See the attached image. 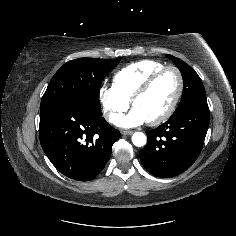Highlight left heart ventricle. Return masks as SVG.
Returning <instances> with one entry per match:
<instances>
[{"mask_svg": "<svg viewBox=\"0 0 236 236\" xmlns=\"http://www.w3.org/2000/svg\"><path fill=\"white\" fill-rule=\"evenodd\" d=\"M178 88L177 76L173 71L164 73L151 89L136 102L137 108L147 121L159 117L171 104Z\"/></svg>", "mask_w": 236, "mask_h": 236, "instance_id": "1", "label": "left heart ventricle"}]
</instances>
